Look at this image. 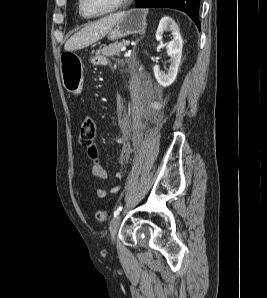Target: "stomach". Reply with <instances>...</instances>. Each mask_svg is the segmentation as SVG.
<instances>
[{
	"label": "stomach",
	"instance_id": "obj_1",
	"mask_svg": "<svg viewBox=\"0 0 267 298\" xmlns=\"http://www.w3.org/2000/svg\"><path fill=\"white\" fill-rule=\"evenodd\" d=\"M147 9H132L123 12L122 17L108 32V39L116 40L132 34H143L147 27ZM60 71L65 89L78 95L83 88V67L79 57L69 51L60 56Z\"/></svg>",
	"mask_w": 267,
	"mask_h": 298
}]
</instances>
